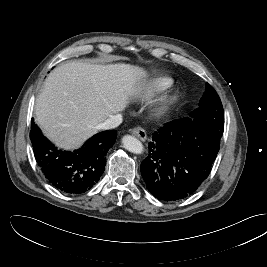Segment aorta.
Listing matches in <instances>:
<instances>
[{"mask_svg":"<svg viewBox=\"0 0 267 267\" xmlns=\"http://www.w3.org/2000/svg\"><path fill=\"white\" fill-rule=\"evenodd\" d=\"M123 147L131 153L141 154L144 151L142 143L131 135H125L122 138Z\"/></svg>","mask_w":267,"mask_h":267,"instance_id":"1","label":"aorta"}]
</instances>
